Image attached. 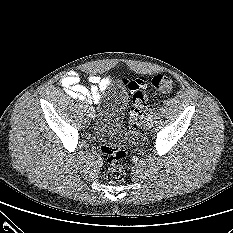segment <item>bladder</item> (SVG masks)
I'll list each match as a JSON object with an SVG mask.
<instances>
[{
  "mask_svg": "<svg viewBox=\"0 0 233 233\" xmlns=\"http://www.w3.org/2000/svg\"><path fill=\"white\" fill-rule=\"evenodd\" d=\"M127 105L126 88L118 83L109 87L96 125V136L101 143L118 145L130 141L131 135L124 122Z\"/></svg>",
  "mask_w": 233,
  "mask_h": 233,
  "instance_id": "1",
  "label": "bladder"
}]
</instances>
